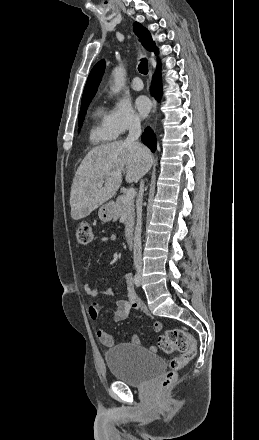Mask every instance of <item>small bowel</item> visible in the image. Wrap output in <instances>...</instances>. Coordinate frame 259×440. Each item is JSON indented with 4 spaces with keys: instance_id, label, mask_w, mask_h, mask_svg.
Returning a JSON list of instances; mask_svg holds the SVG:
<instances>
[{
    "instance_id": "small-bowel-1",
    "label": "small bowel",
    "mask_w": 259,
    "mask_h": 440,
    "mask_svg": "<svg viewBox=\"0 0 259 440\" xmlns=\"http://www.w3.org/2000/svg\"><path fill=\"white\" fill-rule=\"evenodd\" d=\"M117 236L112 234L109 237H102V242H108V241H116ZM124 283L126 288V294H127V300H115L114 306V320L115 321H122L126 319L129 315V313L132 310H141L147 315H150L145 305L142 303V301L136 296L134 287H133V278L131 274L126 273L124 275ZM84 291L87 296L91 298H96L100 295L102 296H112L113 290L111 288L106 289H96L92 288L88 283H84ZM101 311V306L97 302H92L89 305V315L92 319H97ZM152 327L155 332H159L162 330V324L159 321L153 320L152 321ZM97 337L99 341L106 347H111L114 344L113 336L106 330H99L97 331ZM129 343L132 345H138L140 344V337L138 334L133 333L130 336ZM150 350L156 351L155 346H151Z\"/></svg>"
}]
</instances>
